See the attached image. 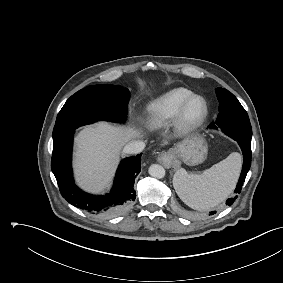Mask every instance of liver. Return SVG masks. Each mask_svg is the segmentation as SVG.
<instances>
[{
    "mask_svg": "<svg viewBox=\"0 0 283 283\" xmlns=\"http://www.w3.org/2000/svg\"><path fill=\"white\" fill-rule=\"evenodd\" d=\"M141 133L134 127L98 122L84 127L75 138L77 183L92 193L104 191L114 175L122 148Z\"/></svg>",
    "mask_w": 283,
    "mask_h": 283,
    "instance_id": "liver-1",
    "label": "liver"
}]
</instances>
